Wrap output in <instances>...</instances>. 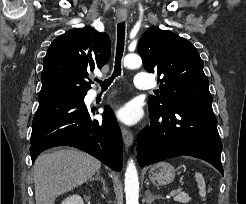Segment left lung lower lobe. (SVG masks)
<instances>
[{
  "label": "left lung lower lobe",
  "mask_w": 246,
  "mask_h": 204,
  "mask_svg": "<svg viewBox=\"0 0 246 204\" xmlns=\"http://www.w3.org/2000/svg\"><path fill=\"white\" fill-rule=\"evenodd\" d=\"M150 118V126L138 136L139 165L187 155L211 163L223 175L222 143L211 102H173L158 113L150 112Z\"/></svg>",
  "instance_id": "left-lung-lower-lobe-1"
}]
</instances>
